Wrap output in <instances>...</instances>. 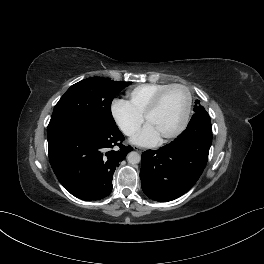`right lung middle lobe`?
<instances>
[{
  "label": "right lung middle lobe",
  "mask_w": 264,
  "mask_h": 264,
  "mask_svg": "<svg viewBox=\"0 0 264 264\" xmlns=\"http://www.w3.org/2000/svg\"><path fill=\"white\" fill-rule=\"evenodd\" d=\"M131 82L92 77L72 85L56 104L47 136L81 125H116L111 102Z\"/></svg>",
  "instance_id": "right-lung-middle-lobe-1"
}]
</instances>
